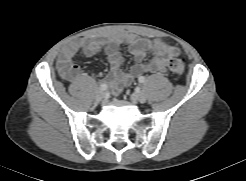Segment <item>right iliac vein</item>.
<instances>
[{"label": "right iliac vein", "mask_w": 246, "mask_h": 181, "mask_svg": "<svg viewBox=\"0 0 246 181\" xmlns=\"http://www.w3.org/2000/svg\"><path fill=\"white\" fill-rule=\"evenodd\" d=\"M104 97H105V92L102 91L101 89H98L96 91V100L97 101H102L104 99Z\"/></svg>", "instance_id": "63e3f726"}]
</instances>
